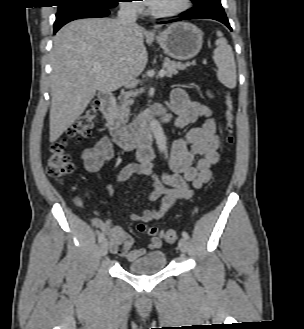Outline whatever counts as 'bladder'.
Wrapping results in <instances>:
<instances>
[{"mask_svg":"<svg viewBox=\"0 0 304 329\" xmlns=\"http://www.w3.org/2000/svg\"><path fill=\"white\" fill-rule=\"evenodd\" d=\"M167 266V256L163 251L146 252L127 264L126 271L133 275H150L164 270Z\"/></svg>","mask_w":304,"mask_h":329,"instance_id":"obj_1","label":"bladder"}]
</instances>
